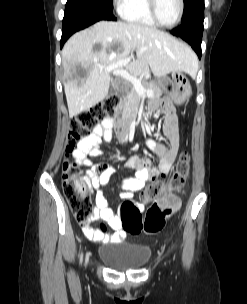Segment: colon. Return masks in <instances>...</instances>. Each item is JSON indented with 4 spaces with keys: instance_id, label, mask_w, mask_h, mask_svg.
I'll return each instance as SVG.
<instances>
[{
    "instance_id": "obj_1",
    "label": "colon",
    "mask_w": 247,
    "mask_h": 304,
    "mask_svg": "<svg viewBox=\"0 0 247 304\" xmlns=\"http://www.w3.org/2000/svg\"><path fill=\"white\" fill-rule=\"evenodd\" d=\"M118 103L119 96L111 94L89 110H84L76 115L70 122L67 152H72L78 141L88 137L90 131L100 121L113 115ZM189 171L190 158L186 152H183L178 159L172 176L168 180L156 181L150 189L149 195L153 198L166 194L160 202L155 201L152 204L144 220H142L138 206L131 200H125L120 209L124 230L131 234H138L141 231L146 233L161 231L165 226L166 220L180 206L179 197L170 191L179 190L184 185L189 177ZM62 183L74 217L81 224L87 223L93 212L92 203L88 195L89 185L75 163L64 162Z\"/></svg>"
}]
</instances>
